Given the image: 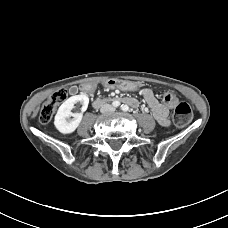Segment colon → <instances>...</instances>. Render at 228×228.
<instances>
[{
    "mask_svg": "<svg viewBox=\"0 0 228 228\" xmlns=\"http://www.w3.org/2000/svg\"><path fill=\"white\" fill-rule=\"evenodd\" d=\"M68 97V92L65 89L56 90L44 102L39 112V121L46 124L51 121L57 107L62 104ZM164 101L174 106L173 120L177 126L183 127L187 125L192 119V109L185 102H179L177 97L173 94H166Z\"/></svg>",
    "mask_w": 228,
    "mask_h": 228,
    "instance_id": "obj_1",
    "label": "colon"
}]
</instances>
